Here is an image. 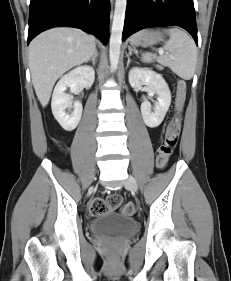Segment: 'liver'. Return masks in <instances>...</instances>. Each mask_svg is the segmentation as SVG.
Returning <instances> with one entry per match:
<instances>
[{
	"mask_svg": "<svg viewBox=\"0 0 231 281\" xmlns=\"http://www.w3.org/2000/svg\"><path fill=\"white\" fill-rule=\"evenodd\" d=\"M95 37L80 29L61 27L35 37L29 46V67L36 95L47 106L57 79L74 66L90 60Z\"/></svg>",
	"mask_w": 231,
	"mask_h": 281,
	"instance_id": "obj_1",
	"label": "liver"
}]
</instances>
